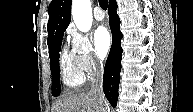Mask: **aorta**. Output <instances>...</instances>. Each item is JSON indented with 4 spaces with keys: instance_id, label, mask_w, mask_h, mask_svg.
<instances>
[{
    "instance_id": "762f6f07",
    "label": "aorta",
    "mask_w": 193,
    "mask_h": 112,
    "mask_svg": "<svg viewBox=\"0 0 193 112\" xmlns=\"http://www.w3.org/2000/svg\"><path fill=\"white\" fill-rule=\"evenodd\" d=\"M72 18L81 32H88L92 26V8L90 0L72 1Z\"/></svg>"
}]
</instances>
